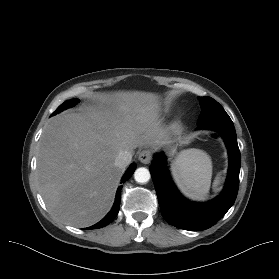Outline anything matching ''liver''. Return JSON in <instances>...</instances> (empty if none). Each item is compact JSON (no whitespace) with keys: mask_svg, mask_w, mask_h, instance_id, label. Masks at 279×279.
Instances as JSON below:
<instances>
[{"mask_svg":"<svg viewBox=\"0 0 279 279\" xmlns=\"http://www.w3.org/2000/svg\"><path fill=\"white\" fill-rule=\"evenodd\" d=\"M159 111L157 95L126 91L79 113L52 118L41 135L36 169L48 211L79 228L100 221L122 176L123 169L115 166L117 155L171 142Z\"/></svg>","mask_w":279,"mask_h":279,"instance_id":"1","label":"liver"}]
</instances>
